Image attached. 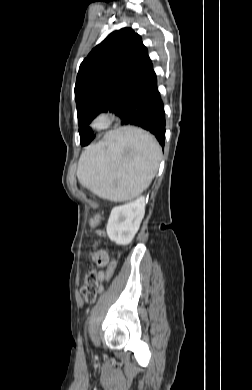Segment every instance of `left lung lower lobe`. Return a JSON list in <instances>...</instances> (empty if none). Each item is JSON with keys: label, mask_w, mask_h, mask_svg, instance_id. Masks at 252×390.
<instances>
[{"label": "left lung lower lobe", "mask_w": 252, "mask_h": 390, "mask_svg": "<svg viewBox=\"0 0 252 390\" xmlns=\"http://www.w3.org/2000/svg\"><path fill=\"white\" fill-rule=\"evenodd\" d=\"M118 116L122 119V125H134L151 132L164 147L165 111L155 72L123 105ZM93 138V132L86 126L80 143L82 146L88 145Z\"/></svg>", "instance_id": "left-lung-lower-lobe-1"}]
</instances>
